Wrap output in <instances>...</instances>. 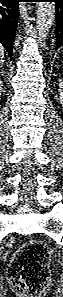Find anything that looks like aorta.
<instances>
[{
    "mask_svg": "<svg viewBox=\"0 0 63 297\" xmlns=\"http://www.w3.org/2000/svg\"><path fill=\"white\" fill-rule=\"evenodd\" d=\"M55 18L54 2H38L36 16V33L41 42L50 32Z\"/></svg>",
    "mask_w": 63,
    "mask_h": 297,
    "instance_id": "762f6f07",
    "label": "aorta"
}]
</instances>
